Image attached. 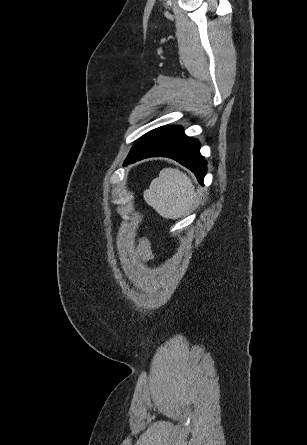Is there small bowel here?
<instances>
[{"label": "small bowel", "instance_id": "small-bowel-1", "mask_svg": "<svg viewBox=\"0 0 307 445\" xmlns=\"http://www.w3.org/2000/svg\"><path fill=\"white\" fill-rule=\"evenodd\" d=\"M138 253L145 260H148L152 257L151 246L147 240L141 241Z\"/></svg>", "mask_w": 307, "mask_h": 445}]
</instances>
